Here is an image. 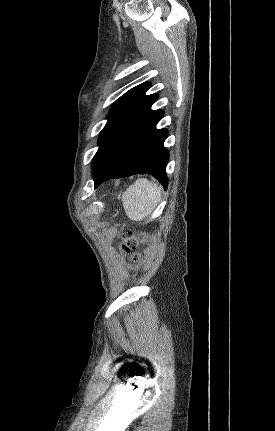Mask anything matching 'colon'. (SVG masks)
I'll list each match as a JSON object with an SVG mask.
<instances>
[{
  "label": "colon",
  "mask_w": 275,
  "mask_h": 431,
  "mask_svg": "<svg viewBox=\"0 0 275 431\" xmlns=\"http://www.w3.org/2000/svg\"><path fill=\"white\" fill-rule=\"evenodd\" d=\"M134 242H135L134 237L132 235H127L124 238V241L121 245L122 252L126 253V254H130L131 249H133L132 247H133Z\"/></svg>",
  "instance_id": "obj_1"
}]
</instances>
